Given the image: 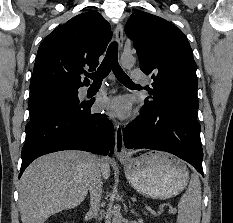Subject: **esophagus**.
Masks as SVG:
<instances>
[{"instance_id":"esophagus-1","label":"esophagus","mask_w":233,"mask_h":223,"mask_svg":"<svg viewBox=\"0 0 233 223\" xmlns=\"http://www.w3.org/2000/svg\"><path fill=\"white\" fill-rule=\"evenodd\" d=\"M115 38L119 48L121 49L124 43V32L121 23L117 24L115 29ZM115 155L118 159L128 158V153L124 146L122 127L119 124L116 125L115 128Z\"/></svg>"}]
</instances>
